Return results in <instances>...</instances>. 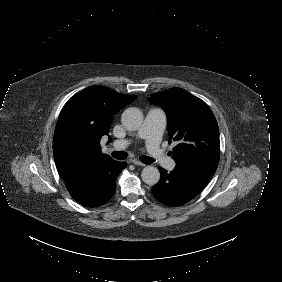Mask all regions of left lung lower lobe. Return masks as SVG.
Segmentation results:
<instances>
[{
  "label": "left lung lower lobe",
  "instance_id": "0a47b994",
  "mask_svg": "<svg viewBox=\"0 0 282 282\" xmlns=\"http://www.w3.org/2000/svg\"><path fill=\"white\" fill-rule=\"evenodd\" d=\"M218 163L208 160H191L176 164L173 171L161 167L160 180L153 186L154 197L168 206H181L196 197L208 184Z\"/></svg>",
  "mask_w": 282,
  "mask_h": 282
}]
</instances>
